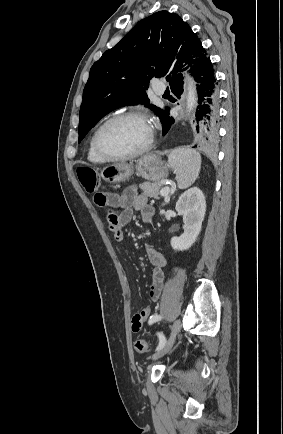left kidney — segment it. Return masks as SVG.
I'll return each mask as SVG.
<instances>
[{
    "label": "left kidney",
    "instance_id": "5707ae66",
    "mask_svg": "<svg viewBox=\"0 0 283 434\" xmlns=\"http://www.w3.org/2000/svg\"><path fill=\"white\" fill-rule=\"evenodd\" d=\"M176 211L183 216L184 232L171 238V246L176 251L188 250L197 240L206 212L203 192L193 187L184 192L176 203Z\"/></svg>",
    "mask_w": 283,
    "mask_h": 434
}]
</instances>
